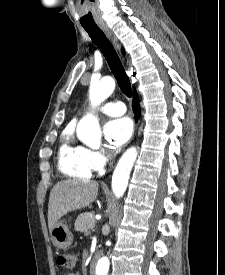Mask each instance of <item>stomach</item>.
<instances>
[{"mask_svg": "<svg viewBox=\"0 0 225 275\" xmlns=\"http://www.w3.org/2000/svg\"><path fill=\"white\" fill-rule=\"evenodd\" d=\"M51 240L53 244L60 249H66L71 246L73 242V235L69 226L64 222H57L51 232Z\"/></svg>", "mask_w": 225, "mask_h": 275, "instance_id": "1", "label": "stomach"}]
</instances>
